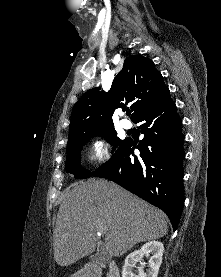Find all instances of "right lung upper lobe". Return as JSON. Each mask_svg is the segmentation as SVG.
<instances>
[{"instance_id":"1","label":"right lung upper lobe","mask_w":221,"mask_h":277,"mask_svg":"<svg viewBox=\"0 0 221 277\" xmlns=\"http://www.w3.org/2000/svg\"><path fill=\"white\" fill-rule=\"evenodd\" d=\"M168 88L154 63L140 55L125 59L123 69L114 78L110 91L94 88L87 91L72 109L69 138L79 132L113 125L115 110L131 104V120Z\"/></svg>"}]
</instances>
